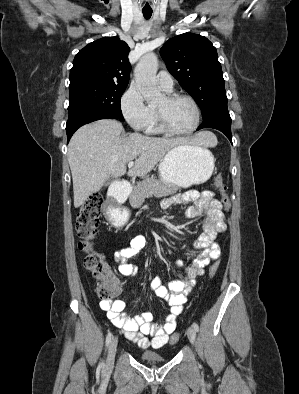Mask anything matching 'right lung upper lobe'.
<instances>
[{"label":"right lung upper lobe","mask_w":299,"mask_h":394,"mask_svg":"<svg viewBox=\"0 0 299 394\" xmlns=\"http://www.w3.org/2000/svg\"><path fill=\"white\" fill-rule=\"evenodd\" d=\"M128 45L117 37H104L80 50L70 70L69 87L89 84L127 86L131 65Z\"/></svg>","instance_id":"cb5924a9"}]
</instances>
